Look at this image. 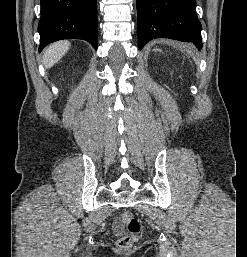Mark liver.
<instances>
[{
	"label": "liver",
	"instance_id": "obj_1",
	"mask_svg": "<svg viewBox=\"0 0 247 257\" xmlns=\"http://www.w3.org/2000/svg\"><path fill=\"white\" fill-rule=\"evenodd\" d=\"M70 43L68 41H60L51 44L45 51L43 63L46 69L56 64L69 50Z\"/></svg>",
	"mask_w": 247,
	"mask_h": 257
}]
</instances>
